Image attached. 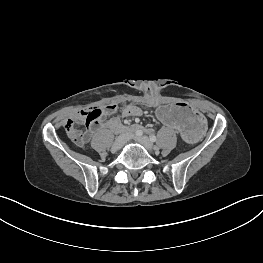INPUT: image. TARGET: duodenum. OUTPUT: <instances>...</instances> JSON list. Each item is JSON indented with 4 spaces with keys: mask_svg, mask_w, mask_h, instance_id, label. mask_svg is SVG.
Listing matches in <instances>:
<instances>
[{
    "mask_svg": "<svg viewBox=\"0 0 263 263\" xmlns=\"http://www.w3.org/2000/svg\"><path fill=\"white\" fill-rule=\"evenodd\" d=\"M108 128L120 130L121 132H131L135 130H142L143 127L137 124L130 125V126H123L118 121L113 120L108 124Z\"/></svg>",
    "mask_w": 263,
    "mask_h": 263,
    "instance_id": "duodenum-1",
    "label": "duodenum"
}]
</instances>
